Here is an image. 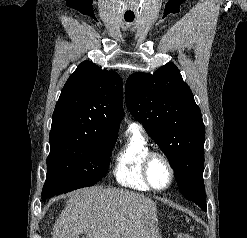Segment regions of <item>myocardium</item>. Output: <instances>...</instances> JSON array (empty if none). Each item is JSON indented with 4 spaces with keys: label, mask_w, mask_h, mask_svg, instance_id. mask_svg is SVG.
Listing matches in <instances>:
<instances>
[{
    "label": "myocardium",
    "mask_w": 247,
    "mask_h": 238,
    "mask_svg": "<svg viewBox=\"0 0 247 238\" xmlns=\"http://www.w3.org/2000/svg\"><path fill=\"white\" fill-rule=\"evenodd\" d=\"M155 158H159V159L163 160L165 162V164L167 165V167L169 169V173H170L169 181L167 182L166 185H164L162 187H158V186L154 185L151 178H150L149 168H150L151 162ZM142 175H143V178H144L146 184L151 189L161 191V190H165V189L169 188L172 185V183L175 179V169H174V166H173L170 158L166 154H164L160 151H150L145 156V158L143 160Z\"/></svg>",
    "instance_id": "obj_1"
}]
</instances>
